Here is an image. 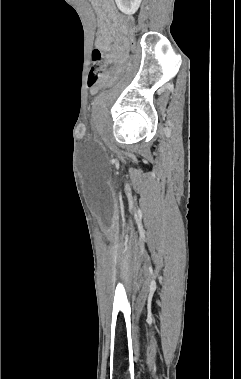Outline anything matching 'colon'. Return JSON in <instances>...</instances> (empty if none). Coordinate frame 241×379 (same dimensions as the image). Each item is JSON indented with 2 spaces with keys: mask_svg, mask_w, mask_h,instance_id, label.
Returning <instances> with one entry per match:
<instances>
[{
  "mask_svg": "<svg viewBox=\"0 0 241 379\" xmlns=\"http://www.w3.org/2000/svg\"><path fill=\"white\" fill-rule=\"evenodd\" d=\"M125 36H127L128 45L131 47V52H136L138 37L135 35L136 33V24L135 23H128L127 28L125 29ZM103 65H104V56L102 53V50L98 47H96L92 52V67L88 76V84L90 86L96 85L100 79L102 78V72H103ZM129 61H124L123 64L119 65L120 71H115L114 76H112L110 79H105V86L102 87L103 91H108L110 86H114V83L117 81V78H122L124 76V73L122 71H125L126 68L130 67Z\"/></svg>",
  "mask_w": 241,
  "mask_h": 379,
  "instance_id": "5ec220e1",
  "label": "colon"
}]
</instances>
